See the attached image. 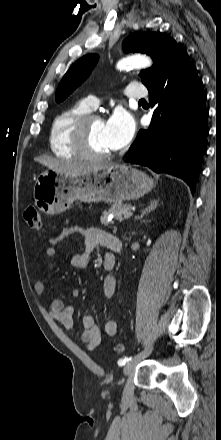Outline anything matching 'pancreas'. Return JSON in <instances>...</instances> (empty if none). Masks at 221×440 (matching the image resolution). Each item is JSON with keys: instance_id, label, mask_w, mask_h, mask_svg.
<instances>
[{"instance_id": "1", "label": "pancreas", "mask_w": 221, "mask_h": 440, "mask_svg": "<svg viewBox=\"0 0 221 440\" xmlns=\"http://www.w3.org/2000/svg\"><path fill=\"white\" fill-rule=\"evenodd\" d=\"M132 208V205L128 204V205H121V204H114L112 205L108 211H104L102 213V216L100 217V221L102 224L107 225V217H109V215H114L116 218L118 219H123L124 215L130 211Z\"/></svg>"}]
</instances>
